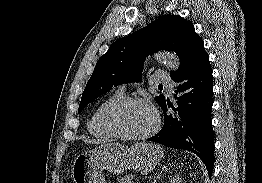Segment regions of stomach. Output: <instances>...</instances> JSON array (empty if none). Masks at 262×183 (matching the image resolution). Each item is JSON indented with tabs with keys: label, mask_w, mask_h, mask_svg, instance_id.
I'll use <instances>...</instances> for the list:
<instances>
[{
	"label": "stomach",
	"mask_w": 262,
	"mask_h": 183,
	"mask_svg": "<svg viewBox=\"0 0 262 183\" xmlns=\"http://www.w3.org/2000/svg\"><path fill=\"white\" fill-rule=\"evenodd\" d=\"M163 157L156 144L139 142L126 147L118 142H104L76 157L72 166L75 183H106L103 171L120 174L127 169L153 170Z\"/></svg>",
	"instance_id": "1"
}]
</instances>
